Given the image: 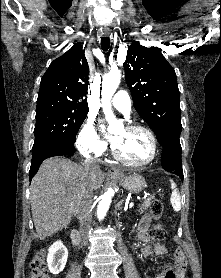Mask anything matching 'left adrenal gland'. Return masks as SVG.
I'll return each mask as SVG.
<instances>
[{"mask_svg": "<svg viewBox=\"0 0 221 278\" xmlns=\"http://www.w3.org/2000/svg\"><path fill=\"white\" fill-rule=\"evenodd\" d=\"M124 202V199H122L118 204H117V209L121 210L122 209V204Z\"/></svg>", "mask_w": 221, "mask_h": 278, "instance_id": "1", "label": "left adrenal gland"}]
</instances>
